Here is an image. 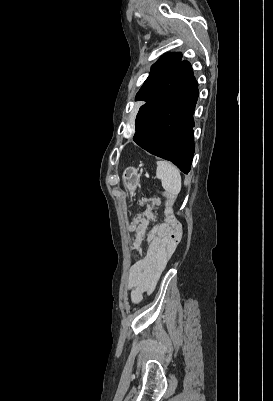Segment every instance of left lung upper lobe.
Here are the masks:
<instances>
[{"mask_svg":"<svg viewBox=\"0 0 273 401\" xmlns=\"http://www.w3.org/2000/svg\"><path fill=\"white\" fill-rule=\"evenodd\" d=\"M181 53H167L152 65L151 72L136 94V101L148 102L163 92L171 81L174 71L182 63Z\"/></svg>","mask_w":273,"mask_h":401,"instance_id":"obj_1","label":"left lung upper lobe"}]
</instances>
